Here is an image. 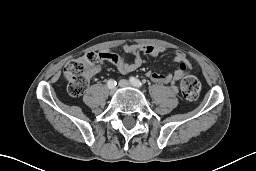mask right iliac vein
Segmentation results:
<instances>
[{
  "label": "right iliac vein",
  "instance_id": "63e3f726",
  "mask_svg": "<svg viewBox=\"0 0 256 171\" xmlns=\"http://www.w3.org/2000/svg\"><path fill=\"white\" fill-rule=\"evenodd\" d=\"M116 92V87L114 86V87H112V88H110V93L111 94H114Z\"/></svg>",
  "mask_w": 256,
  "mask_h": 171
}]
</instances>
